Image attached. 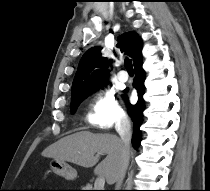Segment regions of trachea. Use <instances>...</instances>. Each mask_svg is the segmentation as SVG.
Segmentation results:
<instances>
[{"label": "trachea", "instance_id": "obj_1", "mask_svg": "<svg viewBox=\"0 0 210 191\" xmlns=\"http://www.w3.org/2000/svg\"><path fill=\"white\" fill-rule=\"evenodd\" d=\"M124 64H125V68L128 72H134L131 59L126 58L124 61Z\"/></svg>", "mask_w": 210, "mask_h": 191}]
</instances>
